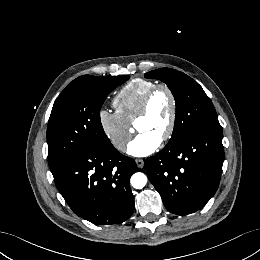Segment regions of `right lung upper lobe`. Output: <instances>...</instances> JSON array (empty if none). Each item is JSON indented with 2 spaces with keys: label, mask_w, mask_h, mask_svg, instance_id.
<instances>
[{
  "label": "right lung upper lobe",
  "mask_w": 260,
  "mask_h": 260,
  "mask_svg": "<svg viewBox=\"0 0 260 260\" xmlns=\"http://www.w3.org/2000/svg\"><path fill=\"white\" fill-rule=\"evenodd\" d=\"M85 77H87V76H86V75H85V76H80V77H78L77 79H75V80L72 81V82H77V81H79V80L84 79Z\"/></svg>",
  "instance_id": "right-lung-upper-lobe-1"
}]
</instances>
